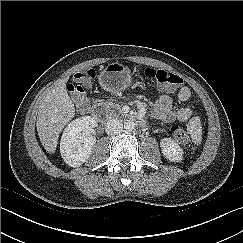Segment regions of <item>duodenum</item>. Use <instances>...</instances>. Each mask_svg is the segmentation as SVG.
Masks as SVG:
<instances>
[{
    "mask_svg": "<svg viewBox=\"0 0 243 243\" xmlns=\"http://www.w3.org/2000/svg\"><path fill=\"white\" fill-rule=\"evenodd\" d=\"M91 117H93L96 120H100L102 118L101 113L99 112L98 109H93L90 112ZM128 120L133 121L138 123L141 126H144V119L142 118V116L138 115V114H134V115H130L128 118Z\"/></svg>",
    "mask_w": 243,
    "mask_h": 243,
    "instance_id": "obj_1",
    "label": "duodenum"
}]
</instances>
